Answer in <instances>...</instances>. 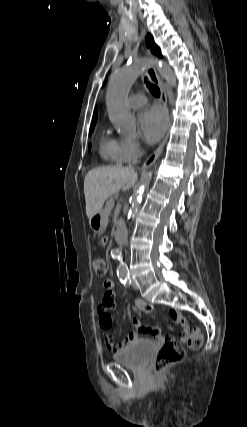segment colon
<instances>
[{
	"instance_id": "5ec220e1",
	"label": "colon",
	"mask_w": 247,
	"mask_h": 427,
	"mask_svg": "<svg viewBox=\"0 0 247 427\" xmlns=\"http://www.w3.org/2000/svg\"><path fill=\"white\" fill-rule=\"evenodd\" d=\"M93 267L98 276H105L108 271V263L103 258H97L93 261ZM187 345L191 349H198L202 345V335L199 329L195 328L187 340ZM185 355V349L182 344L174 341H168L160 348L155 369L160 371L172 364L179 362Z\"/></svg>"
}]
</instances>
